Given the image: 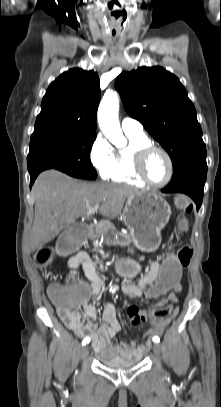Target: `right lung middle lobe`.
Instances as JSON below:
<instances>
[{"label":"right lung middle lobe","instance_id":"obj_1","mask_svg":"<svg viewBox=\"0 0 221 407\" xmlns=\"http://www.w3.org/2000/svg\"><path fill=\"white\" fill-rule=\"evenodd\" d=\"M96 135L63 129L34 131L27 157L29 173L58 169L83 179H95L97 173L90 161Z\"/></svg>","mask_w":221,"mask_h":407}]
</instances>
